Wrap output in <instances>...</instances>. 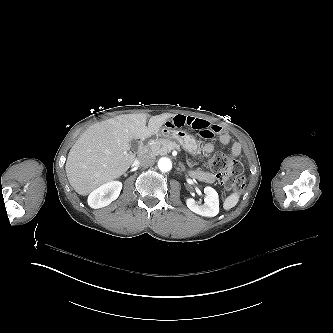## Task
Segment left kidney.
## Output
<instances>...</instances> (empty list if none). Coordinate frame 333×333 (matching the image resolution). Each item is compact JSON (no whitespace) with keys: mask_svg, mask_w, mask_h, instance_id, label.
Masks as SVG:
<instances>
[{"mask_svg":"<svg viewBox=\"0 0 333 333\" xmlns=\"http://www.w3.org/2000/svg\"><path fill=\"white\" fill-rule=\"evenodd\" d=\"M204 193L206 195L204 199V204L201 206L193 198L186 196L185 203L186 206L194 213L206 216L214 217L219 212V198L215 189L210 186L204 188Z\"/></svg>","mask_w":333,"mask_h":333,"instance_id":"5707ae66","label":"left kidney"}]
</instances>
